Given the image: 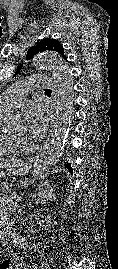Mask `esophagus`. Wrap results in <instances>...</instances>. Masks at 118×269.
<instances>
[{"label":"esophagus","mask_w":118,"mask_h":269,"mask_svg":"<svg viewBox=\"0 0 118 269\" xmlns=\"http://www.w3.org/2000/svg\"><path fill=\"white\" fill-rule=\"evenodd\" d=\"M53 93H54V95H55V89H53ZM55 125H56V112L54 113V115H53V117H52V121H51V130H50L49 136H48V138H47L45 144H47L48 141L50 140V138H51V136H52V134H53ZM45 144L43 145V147H41V150H42V148L45 147Z\"/></svg>","instance_id":"1"}]
</instances>
